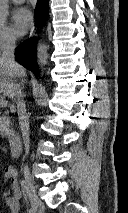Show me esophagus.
<instances>
[{
    "mask_svg": "<svg viewBox=\"0 0 128 213\" xmlns=\"http://www.w3.org/2000/svg\"><path fill=\"white\" fill-rule=\"evenodd\" d=\"M37 31V27L34 25L31 29V32H30V35H29V38L33 37L35 35V32Z\"/></svg>",
    "mask_w": 128,
    "mask_h": 213,
    "instance_id": "obj_1",
    "label": "esophagus"
}]
</instances>
